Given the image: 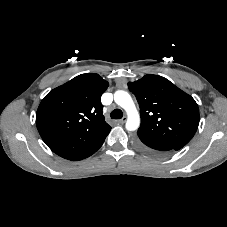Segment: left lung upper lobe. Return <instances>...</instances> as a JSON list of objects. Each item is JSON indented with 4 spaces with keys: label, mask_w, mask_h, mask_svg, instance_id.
I'll return each instance as SVG.
<instances>
[{
    "label": "left lung upper lobe",
    "mask_w": 227,
    "mask_h": 227,
    "mask_svg": "<svg viewBox=\"0 0 227 227\" xmlns=\"http://www.w3.org/2000/svg\"><path fill=\"white\" fill-rule=\"evenodd\" d=\"M140 107L138 137L179 150L194 136L199 125L195 100L168 79L148 74L128 83Z\"/></svg>",
    "instance_id": "left-lung-upper-lobe-1"
}]
</instances>
